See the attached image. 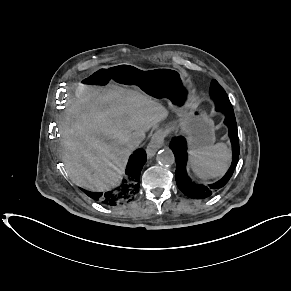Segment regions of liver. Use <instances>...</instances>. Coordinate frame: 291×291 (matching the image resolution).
<instances>
[{
	"label": "liver",
	"instance_id": "obj_1",
	"mask_svg": "<svg viewBox=\"0 0 291 291\" xmlns=\"http://www.w3.org/2000/svg\"><path fill=\"white\" fill-rule=\"evenodd\" d=\"M166 116L164 106L137 89L80 84L59 126L62 160L72 180L91 191L117 185L133 150L128 141H142Z\"/></svg>",
	"mask_w": 291,
	"mask_h": 291
}]
</instances>
